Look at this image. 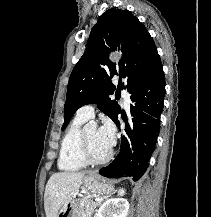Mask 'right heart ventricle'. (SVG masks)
Instances as JSON below:
<instances>
[{
	"mask_svg": "<svg viewBox=\"0 0 211 217\" xmlns=\"http://www.w3.org/2000/svg\"><path fill=\"white\" fill-rule=\"evenodd\" d=\"M85 119L77 117L66 130L60 146L58 168L63 171H78L87 164L82 160L79 152L80 135L83 131Z\"/></svg>",
	"mask_w": 211,
	"mask_h": 217,
	"instance_id": "right-heart-ventricle-1",
	"label": "right heart ventricle"
}]
</instances>
